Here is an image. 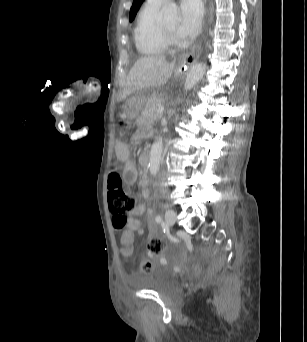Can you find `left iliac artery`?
<instances>
[{
  "label": "left iliac artery",
  "instance_id": "1",
  "mask_svg": "<svg viewBox=\"0 0 307 342\" xmlns=\"http://www.w3.org/2000/svg\"><path fill=\"white\" fill-rule=\"evenodd\" d=\"M156 222H157V223L162 222V217H161L160 215H157V216H156Z\"/></svg>",
  "mask_w": 307,
  "mask_h": 342
}]
</instances>
